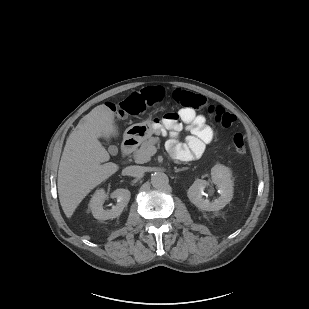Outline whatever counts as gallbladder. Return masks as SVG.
<instances>
[{"label":"gallbladder","instance_id":"bac80fb5","mask_svg":"<svg viewBox=\"0 0 309 309\" xmlns=\"http://www.w3.org/2000/svg\"><path fill=\"white\" fill-rule=\"evenodd\" d=\"M108 150H109V152H110L111 154H113V155H115V154L118 152L117 147L114 146V145H110Z\"/></svg>","mask_w":309,"mask_h":309}]
</instances>
